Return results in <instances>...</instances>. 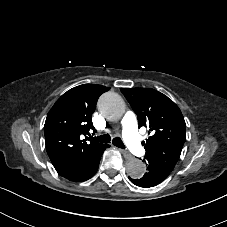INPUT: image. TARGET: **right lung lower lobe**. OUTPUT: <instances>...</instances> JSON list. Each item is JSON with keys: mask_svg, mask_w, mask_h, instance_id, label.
I'll use <instances>...</instances> for the list:
<instances>
[{"mask_svg": "<svg viewBox=\"0 0 227 227\" xmlns=\"http://www.w3.org/2000/svg\"><path fill=\"white\" fill-rule=\"evenodd\" d=\"M107 147H109V145L105 144L100 149L91 152L85 158L83 165L77 170L72 171L69 169H55L60 176H63L71 181L88 180L97 172L102 153Z\"/></svg>", "mask_w": 227, "mask_h": 227, "instance_id": "obj_1", "label": "right lung lower lobe"}]
</instances>
